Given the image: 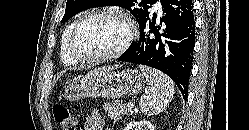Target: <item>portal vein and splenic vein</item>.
Here are the masks:
<instances>
[{"label": "portal vein and splenic vein", "instance_id": "portal-vein-and-splenic-vein-1", "mask_svg": "<svg viewBox=\"0 0 249 130\" xmlns=\"http://www.w3.org/2000/svg\"><path fill=\"white\" fill-rule=\"evenodd\" d=\"M127 107H128V109H132L134 107V105L132 103H128Z\"/></svg>", "mask_w": 249, "mask_h": 130}]
</instances>
